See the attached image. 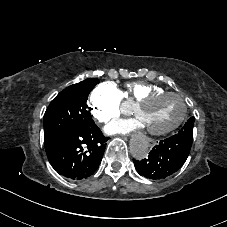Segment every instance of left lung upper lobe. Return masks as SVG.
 <instances>
[{
    "label": "left lung upper lobe",
    "instance_id": "5c2ea615",
    "mask_svg": "<svg viewBox=\"0 0 227 227\" xmlns=\"http://www.w3.org/2000/svg\"><path fill=\"white\" fill-rule=\"evenodd\" d=\"M195 118L191 117L185 123V125L181 128V130L177 133L181 136L192 137L193 136V126H194Z\"/></svg>",
    "mask_w": 227,
    "mask_h": 227
}]
</instances>
